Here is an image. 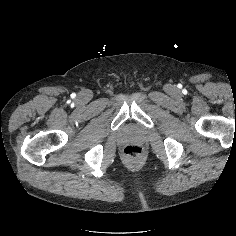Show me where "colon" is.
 Returning <instances> with one entry per match:
<instances>
[{"instance_id": "obj_1", "label": "colon", "mask_w": 236, "mask_h": 236, "mask_svg": "<svg viewBox=\"0 0 236 236\" xmlns=\"http://www.w3.org/2000/svg\"><path fill=\"white\" fill-rule=\"evenodd\" d=\"M124 154L130 159H139L143 155V149L138 145H128L124 149Z\"/></svg>"}]
</instances>
